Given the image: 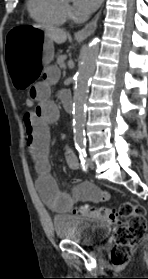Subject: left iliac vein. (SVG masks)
<instances>
[{
    "mask_svg": "<svg viewBox=\"0 0 148 279\" xmlns=\"http://www.w3.org/2000/svg\"><path fill=\"white\" fill-rule=\"evenodd\" d=\"M87 164H88V166H89L91 169H94L95 164H94V161H93L91 158H89V159L87 160Z\"/></svg>",
    "mask_w": 148,
    "mask_h": 279,
    "instance_id": "1",
    "label": "left iliac vein"
}]
</instances>
